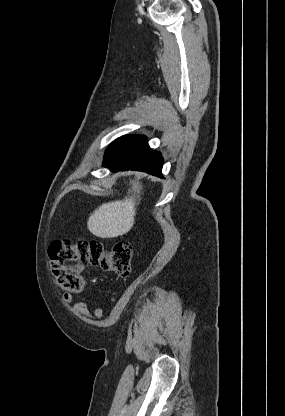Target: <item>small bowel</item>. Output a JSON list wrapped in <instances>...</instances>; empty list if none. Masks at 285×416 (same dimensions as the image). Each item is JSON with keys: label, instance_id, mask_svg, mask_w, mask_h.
Listing matches in <instances>:
<instances>
[{"label": "small bowel", "instance_id": "obj_1", "mask_svg": "<svg viewBox=\"0 0 285 416\" xmlns=\"http://www.w3.org/2000/svg\"><path fill=\"white\" fill-rule=\"evenodd\" d=\"M63 301L67 304H70L72 302V294L71 293H65L63 296ZM72 311L75 314H79L83 316L84 318H87L89 320H98L102 319L104 316V311L100 305V301H96V305L93 309V312H91L88 308V305L84 302H77L73 304Z\"/></svg>", "mask_w": 285, "mask_h": 416}]
</instances>
